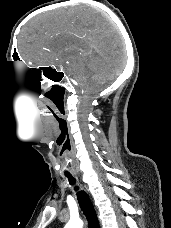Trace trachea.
Listing matches in <instances>:
<instances>
[{
  "label": "trachea",
  "mask_w": 171,
  "mask_h": 228,
  "mask_svg": "<svg viewBox=\"0 0 171 228\" xmlns=\"http://www.w3.org/2000/svg\"><path fill=\"white\" fill-rule=\"evenodd\" d=\"M67 177L70 184L75 185L74 177L71 175H67ZM75 190H78L77 186L75 187ZM77 200L88 221L89 228H99L98 218L89 196L84 191H78Z\"/></svg>",
  "instance_id": "1"
}]
</instances>
